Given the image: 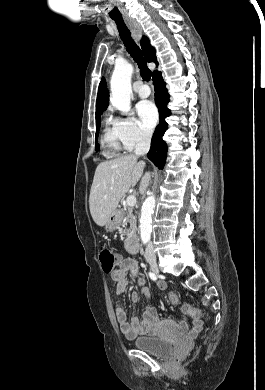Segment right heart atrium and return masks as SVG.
I'll use <instances>...</instances> for the list:
<instances>
[{
  "label": "right heart atrium",
  "instance_id": "obj_1",
  "mask_svg": "<svg viewBox=\"0 0 265 390\" xmlns=\"http://www.w3.org/2000/svg\"><path fill=\"white\" fill-rule=\"evenodd\" d=\"M113 125L126 150L147 144L151 139V133L132 116L114 118Z\"/></svg>",
  "mask_w": 265,
  "mask_h": 390
}]
</instances>
